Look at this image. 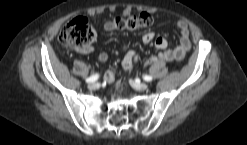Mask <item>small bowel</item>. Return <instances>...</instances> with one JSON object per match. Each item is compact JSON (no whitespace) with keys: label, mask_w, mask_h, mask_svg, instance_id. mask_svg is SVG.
Instances as JSON below:
<instances>
[{"label":"small bowel","mask_w":247,"mask_h":145,"mask_svg":"<svg viewBox=\"0 0 247 145\" xmlns=\"http://www.w3.org/2000/svg\"><path fill=\"white\" fill-rule=\"evenodd\" d=\"M104 28L107 31H112L111 21H106L104 23ZM177 29L179 31V43L174 48H169V41L163 37H156L154 32H146L143 34L141 40L144 44L154 43L155 48L158 50V55L156 57H151L146 61V65H150L157 62H170V61H182L187 52L191 48V42L189 38V28L185 21L179 20L177 22ZM94 50L93 46H89L84 50H80V53L88 54ZM125 52L124 57V68L125 70H130L132 64L137 60L135 53L128 49L127 46H123ZM98 61L100 63H105L108 60V54L106 52H101L98 55ZM116 70L109 69L106 71L104 78L108 83H115L116 87H120L121 84L115 82L116 80Z\"/></svg>","instance_id":"c3829d8e"}]
</instances>
